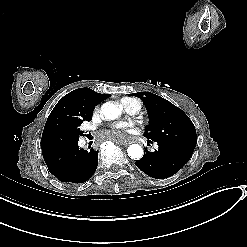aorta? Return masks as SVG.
I'll return each instance as SVG.
<instances>
[{"label": "aorta", "instance_id": "1", "mask_svg": "<svg viewBox=\"0 0 247 247\" xmlns=\"http://www.w3.org/2000/svg\"><path fill=\"white\" fill-rule=\"evenodd\" d=\"M102 115L108 120L117 119L121 115V109L112 102H106L101 107ZM128 156L131 159L139 160L143 156V149L138 144H132L127 149Z\"/></svg>", "mask_w": 247, "mask_h": 247}]
</instances>
